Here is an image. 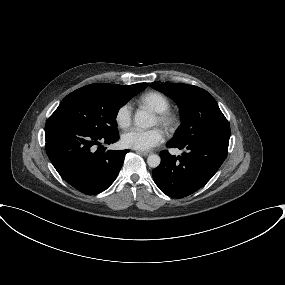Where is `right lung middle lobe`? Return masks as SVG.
I'll list each match as a JSON object with an SVG mask.
<instances>
[{
    "mask_svg": "<svg viewBox=\"0 0 285 285\" xmlns=\"http://www.w3.org/2000/svg\"><path fill=\"white\" fill-rule=\"evenodd\" d=\"M147 86L140 83L130 90H118L99 84L87 85L68 94L51 116L71 120L96 135L117 134L115 119L119 109Z\"/></svg>",
    "mask_w": 285,
    "mask_h": 285,
    "instance_id": "dd1d6c3e",
    "label": "right lung middle lobe"
}]
</instances>
